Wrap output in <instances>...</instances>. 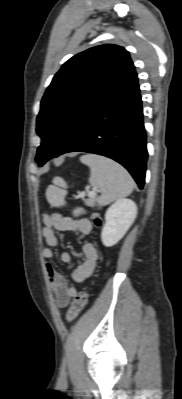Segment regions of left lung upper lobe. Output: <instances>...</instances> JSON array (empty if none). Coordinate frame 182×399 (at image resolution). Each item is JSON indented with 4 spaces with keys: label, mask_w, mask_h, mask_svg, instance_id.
Masks as SVG:
<instances>
[{
    "label": "left lung upper lobe",
    "mask_w": 182,
    "mask_h": 399,
    "mask_svg": "<svg viewBox=\"0 0 182 399\" xmlns=\"http://www.w3.org/2000/svg\"><path fill=\"white\" fill-rule=\"evenodd\" d=\"M136 76L128 51L117 45L96 46L65 62L41 101L36 131L42 143L36 162L42 166L59 156L91 117ZM54 136L57 140L51 146Z\"/></svg>",
    "instance_id": "obj_1"
}]
</instances>
